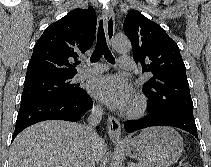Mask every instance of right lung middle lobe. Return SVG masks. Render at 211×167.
Here are the masks:
<instances>
[{
    "label": "right lung middle lobe",
    "instance_id": "dd1d6c3e",
    "mask_svg": "<svg viewBox=\"0 0 211 167\" xmlns=\"http://www.w3.org/2000/svg\"><path fill=\"white\" fill-rule=\"evenodd\" d=\"M72 76H48L25 81L21 99L71 96L81 91L79 84H72Z\"/></svg>",
    "mask_w": 211,
    "mask_h": 167
}]
</instances>
